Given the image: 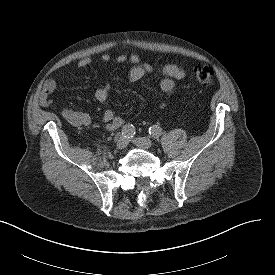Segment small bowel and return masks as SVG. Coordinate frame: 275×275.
<instances>
[{
  "mask_svg": "<svg viewBox=\"0 0 275 275\" xmlns=\"http://www.w3.org/2000/svg\"><path fill=\"white\" fill-rule=\"evenodd\" d=\"M112 59L111 55L104 53L101 56L103 62H108ZM114 59L119 63H124L129 61L133 67L129 73V81L137 82L142 79L147 73H150L153 70V67L149 63L141 62L138 55L132 54L127 56L125 54H118ZM93 62L91 57L82 58L76 65V70H82L88 67ZM161 73L163 78L160 81V88L163 92H171L175 87V81L183 80L186 76L185 71L175 64H166L162 67ZM57 82L55 79L50 78L45 81L43 90L40 94L39 101L42 105L49 106L54 104V99L50 97V94L56 89ZM111 86L109 83L99 88L95 92L96 100L104 104L107 102L110 94ZM63 119H65L69 124L76 127L87 126L91 123V115L85 111L73 110V109H63L60 112ZM103 121L105 127L109 131H115L119 129L124 120L120 116H117L115 112L111 109H107L103 114Z\"/></svg>",
  "mask_w": 275,
  "mask_h": 275,
  "instance_id": "1",
  "label": "small bowel"
}]
</instances>
